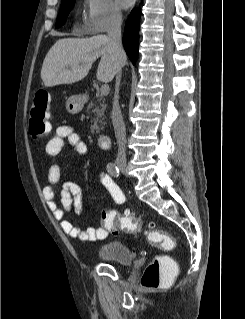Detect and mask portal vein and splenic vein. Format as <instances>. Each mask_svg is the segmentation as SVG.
<instances>
[{
    "instance_id": "1",
    "label": "portal vein and splenic vein",
    "mask_w": 245,
    "mask_h": 319,
    "mask_svg": "<svg viewBox=\"0 0 245 319\" xmlns=\"http://www.w3.org/2000/svg\"><path fill=\"white\" fill-rule=\"evenodd\" d=\"M101 95H107L110 91L109 86L107 84H104L101 86Z\"/></svg>"
}]
</instances>
